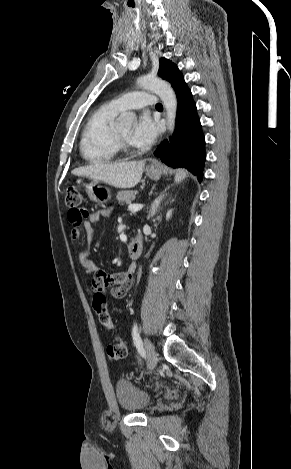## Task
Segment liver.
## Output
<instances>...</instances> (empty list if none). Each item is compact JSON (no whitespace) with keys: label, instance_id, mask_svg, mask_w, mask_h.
Here are the masks:
<instances>
[{"label":"liver","instance_id":"liver-1","mask_svg":"<svg viewBox=\"0 0 291 469\" xmlns=\"http://www.w3.org/2000/svg\"><path fill=\"white\" fill-rule=\"evenodd\" d=\"M145 163V160L119 163H96L76 168L72 171V174L76 176H86L93 180H100L117 188H132L140 182Z\"/></svg>","mask_w":291,"mask_h":469}]
</instances>
